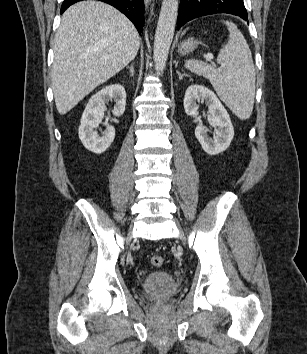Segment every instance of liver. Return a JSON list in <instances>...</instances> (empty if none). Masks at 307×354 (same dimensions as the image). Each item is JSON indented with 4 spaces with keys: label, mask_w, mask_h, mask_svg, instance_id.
I'll return each instance as SVG.
<instances>
[{
    "label": "liver",
    "mask_w": 307,
    "mask_h": 354,
    "mask_svg": "<svg viewBox=\"0 0 307 354\" xmlns=\"http://www.w3.org/2000/svg\"><path fill=\"white\" fill-rule=\"evenodd\" d=\"M139 46L136 28L114 7L98 1L70 6L61 17L53 47L52 89L59 114L65 115L127 66Z\"/></svg>",
    "instance_id": "obj_1"
}]
</instances>
